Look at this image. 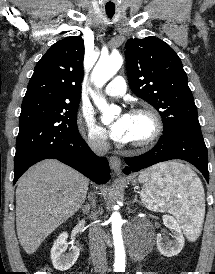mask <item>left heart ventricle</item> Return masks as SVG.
Segmentation results:
<instances>
[{
    "label": "left heart ventricle",
    "instance_id": "1",
    "mask_svg": "<svg viewBox=\"0 0 215 274\" xmlns=\"http://www.w3.org/2000/svg\"><path fill=\"white\" fill-rule=\"evenodd\" d=\"M152 130V124L145 115H130L128 142L139 141L146 138Z\"/></svg>",
    "mask_w": 215,
    "mask_h": 274
}]
</instances>
